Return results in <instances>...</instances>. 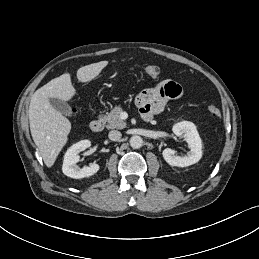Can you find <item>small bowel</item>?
Instances as JSON below:
<instances>
[{
    "label": "small bowel",
    "mask_w": 259,
    "mask_h": 259,
    "mask_svg": "<svg viewBox=\"0 0 259 259\" xmlns=\"http://www.w3.org/2000/svg\"><path fill=\"white\" fill-rule=\"evenodd\" d=\"M181 94L182 88L177 82L165 79L156 86L141 91L136 96L135 102L143 118L150 119L163 112L168 103Z\"/></svg>",
    "instance_id": "c3829d8e"
}]
</instances>
